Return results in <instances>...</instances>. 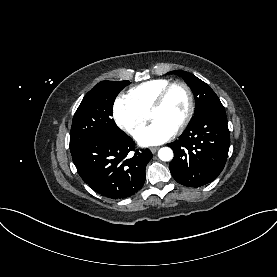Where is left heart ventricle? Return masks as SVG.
Masks as SVG:
<instances>
[{
  "label": "left heart ventricle",
  "mask_w": 277,
  "mask_h": 277,
  "mask_svg": "<svg viewBox=\"0 0 277 277\" xmlns=\"http://www.w3.org/2000/svg\"><path fill=\"white\" fill-rule=\"evenodd\" d=\"M188 110V96L182 87H175L169 93L164 105L150 114L152 120H162L173 127L182 122Z\"/></svg>",
  "instance_id": "b2bd125f"
}]
</instances>
